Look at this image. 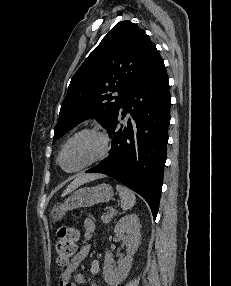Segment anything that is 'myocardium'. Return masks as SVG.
<instances>
[{
    "mask_svg": "<svg viewBox=\"0 0 231 286\" xmlns=\"http://www.w3.org/2000/svg\"><path fill=\"white\" fill-rule=\"evenodd\" d=\"M84 134H91L96 136L99 141H100V152L98 153L97 156H95L94 158H92L91 160H89L88 162H86L85 164L81 165L80 167L73 169V170H66L63 165H62V157H63V153L66 149V147L77 137L84 135ZM110 151V142H109V138L107 136V134L100 130L99 128L96 127H83L77 131H75L73 134H71L66 140L65 142L62 144L59 155H58V163L59 166L66 172L68 173H77L80 171H83L85 169H87L88 167L101 162L102 160H104Z\"/></svg>",
    "mask_w": 231,
    "mask_h": 286,
    "instance_id": "1",
    "label": "myocardium"
}]
</instances>
